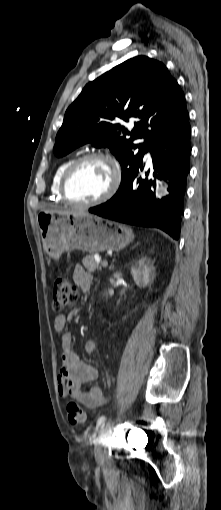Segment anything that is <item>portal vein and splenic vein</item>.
<instances>
[{
    "label": "portal vein and splenic vein",
    "mask_w": 221,
    "mask_h": 510,
    "mask_svg": "<svg viewBox=\"0 0 221 510\" xmlns=\"http://www.w3.org/2000/svg\"><path fill=\"white\" fill-rule=\"evenodd\" d=\"M96 261L100 262V259L96 260ZM101 264H102L103 267H107L108 266V262L106 260L102 261Z\"/></svg>",
    "instance_id": "1"
}]
</instances>
